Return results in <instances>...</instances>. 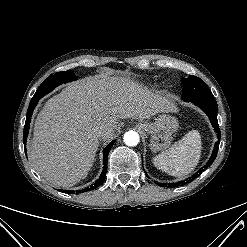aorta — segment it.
Instances as JSON below:
<instances>
[{"label": "aorta", "instance_id": "obj_1", "mask_svg": "<svg viewBox=\"0 0 247 247\" xmlns=\"http://www.w3.org/2000/svg\"><path fill=\"white\" fill-rule=\"evenodd\" d=\"M124 143L128 146H136L139 143V135L135 131H128L123 137Z\"/></svg>", "mask_w": 247, "mask_h": 247}]
</instances>
